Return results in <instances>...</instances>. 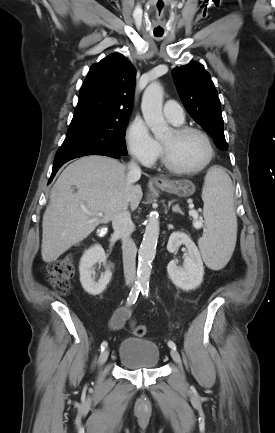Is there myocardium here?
I'll list each match as a JSON object with an SVG mask.
<instances>
[{
    "instance_id": "myocardium-1",
    "label": "myocardium",
    "mask_w": 275,
    "mask_h": 433,
    "mask_svg": "<svg viewBox=\"0 0 275 433\" xmlns=\"http://www.w3.org/2000/svg\"><path fill=\"white\" fill-rule=\"evenodd\" d=\"M172 132L177 137H181V136H184V135L189 134V133H197V134L201 135L205 139V141L208 145L209 154H208L206 161L204 163H202L200 166L194 167V168H182V167L177 166L172 161L168 149L161 142L162 160H163V163L167 169H169L173 173H177V174H196V173L203 171L205 168H207L210 165V163L213 161L214 156H215V147H214V143H213L211 137L209 136V134L207 132H205L204 130H202L199 127L185 126V125H179V126L173 127Z\"/></svg>"
}]
</instances>
